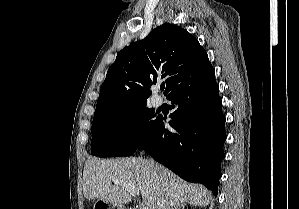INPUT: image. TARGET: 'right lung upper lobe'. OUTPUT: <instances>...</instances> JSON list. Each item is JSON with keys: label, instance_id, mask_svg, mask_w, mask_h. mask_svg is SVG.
I'll return each mask as SVG.
<instances>
[{"label": "right lung upper lobe", "instance_id": "right-lung-upper-lobe-1", "mask_svg": "<svg viewBox=\"0 0 299 209\" xmlns=\"http://www.w3.org/2000/svg\"><path fill=\"white\" fill-rule=\"evenodd\" d=\"M213 72L206 51L193 35L179 26L162 24L117 54L102 84L95 115L145 104L157 80L165 79L167 95L186 78Z\"/></svg>", "mask_w": 299, "mask_h": 209}]
</instances>
